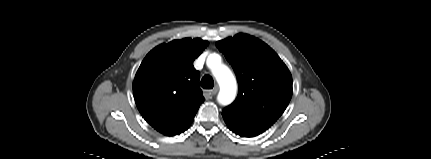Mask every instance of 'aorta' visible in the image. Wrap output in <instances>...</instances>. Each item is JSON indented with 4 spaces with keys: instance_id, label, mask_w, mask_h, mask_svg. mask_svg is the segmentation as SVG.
Here are the masks:
<instances>
[{
    "instance_id": "aorta-1",
    "label": "aorta",
    "mask_w": 431,
    "mask_h": 159,
    "mask_svg": "<svg viewBox=\"0 0 431 159\" xmlns=\"http://www.w3.org/2000/svg\"><path fill=\"white\" fill-rule=\"evenodd\" d=\"M208 66L212 69L213 75L215 76L220 91L218 94V102L222 105L230 104L236 96L237 84L230 69L221 64V58L219 55H210L207 60Z\"/></svg>"
}]
</instances>
